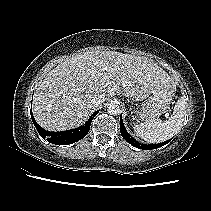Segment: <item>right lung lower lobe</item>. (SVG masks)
Instances as JSON below:
<instances>
[{
    "instance_id": "98d812e1",
    "label": "right lung lower lobe",
    "mask_w": 211,
    "mask_h": 211,
    "mask_svg": "<svg viewBox=\"0 0 211 211\" xmlns=\"http://www.w3.org/2000/svg\"><path fill=\"white\" fill-rule=\"evenodd\" d=\"M98 112H99V110L94 112L90 116L89 120L85 123V125H83L79 128L67 130L64 132L46 131L36 123V121L32 115V112H31V118H32V121H33L38 133L40 134V136L42 138H44V139L46 138V140L48 142L53 143V144L68 145V144L77 142L86 136V134L89 132L90 124Z\"/></svg>"
}]
</instances>
